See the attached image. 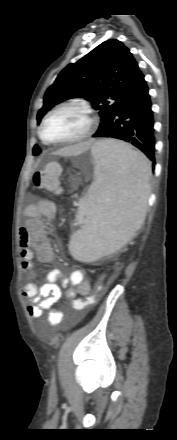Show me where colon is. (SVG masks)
Segmentation results:
<instances>
[{"instance_id": "5ec220e1", "label": "colon", "mask_w": 177, "mask_h": 440, "mask_svg": "<svg viewBox=\"0 0 177 440\" xmlns=\"http://www.w3.org/2000/svg\"><path fill=\"white\" fill-rule=\"evenodd\" d=\"M60 174V166L56 163H51L44 170L34 172L32 176V181L33 184L38 188L46 189L54 193H59ZM100 294L101 289L97 287L92 294H88L84 298H73L70 299L68 302L72 304L73 311H82L84 309V306L94 304Z\"/></svg>"}]
</instances>
